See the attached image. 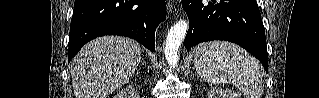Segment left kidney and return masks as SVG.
<instances>
[{"instance_id":"obj_1","label":"left kidney","mask_w":319,"mask_h":98,"mask_svg":"<svg viewBox=\"0 0 319 98\" xmlns=\"http://www.w3.org/2000/svg\"><path fill=\"white\" fill-rule=\"evenodd\" d=\"M207 98H240V96L232 90L213 88L208 92Z\"/></svg>"}]
</instances>
